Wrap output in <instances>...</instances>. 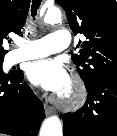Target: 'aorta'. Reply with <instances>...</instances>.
I'll list each match as a JSON object with an SVG mask.
<instances>
[{
  "instance_id": "762f6f07",
  "label": "aorta",
  "mask_w": 117,
  "mask_h": 136,
  "mask_svg": "<svg viewBox=\"0 0 117 136\" xmlns=\"http://www.w3.org/2000/svg\"><path fill=\"white\" fill-rule=\"evenodd\" d=\"M44 21L54 24L61 22V11L58 8H50L45 14ZM39 136H63L62 122L57 116H51L44 120Z\"/></svg>"
}]
</instances>
